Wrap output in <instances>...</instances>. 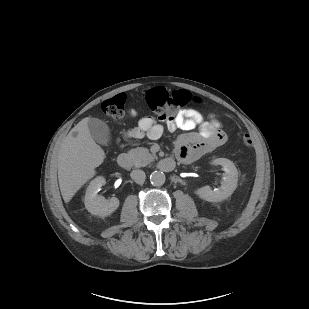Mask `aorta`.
Masks as SVG:
<instances>
[{
    "label": "aorta",
    "instance_id": "762f6f07",
    "mask_svg": "<svg viewBox=\"0 0 309 309\" xmlns=\"http://www.w3.org/2000/svg\"><path fill=\"white\" fill-rule=\"evenodd\" d=\"M166 177L162 171H154L150 175V182L154 186H161L165 183Z\"/></svg>",
    "mask_w": 309,
    "mask_h": 309
}]
</instances>
